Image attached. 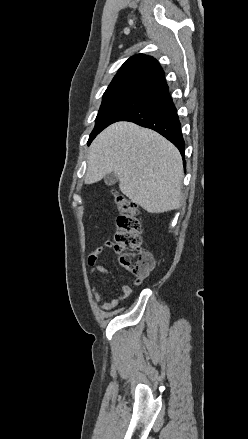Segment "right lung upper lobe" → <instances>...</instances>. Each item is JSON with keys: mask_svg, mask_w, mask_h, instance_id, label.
I'll use <instances>...</instances> for the list:
<instances>
[{"mask_svg": "<svg viewBox=\"0 0 248 439\" xmlns=\"http://www.w3.org/2000/svg\"><path fill=\"white\" fill-rule=\"evenodd\" d=\"M167 89L165 73L156 59L137 54L121 66L103 97L119 93H134L152 98Z\"/></svg>", "mask_w": 248, "mask_h": 439, "instance_id": "obj_1", "label": "right lung upper lobe"}]
</instances>
